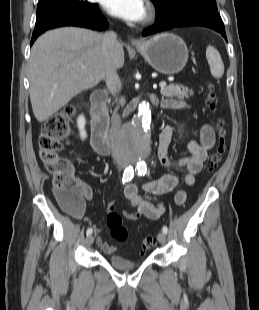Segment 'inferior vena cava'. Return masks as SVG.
I'll use <instances>...</instances> for the list:
<instances>
[{"label": "inferior vena cava", "instance_id": "602c4592", "mask_svg": "<svg viewBox=\"0 0 259 310\" xmlns=\"http://www.w3.org/2000/svg\"><path fill=\"white\" fill-rule=\"evenodd\" d=\"M118 44L119 42L117 40V35L115 32L111 31L103 35V46L105 52V67H106L105 81L110 93L114 96H116L121 91V82L119 76L117 74L116 68L112 67L111 64L112 53ZM120 126H121V119L120 115L118 114V107H116L112 118V124L110 130V136L112 139H114L117 136Z\"/></svg>", "mask_w": 259, "mask_h": 310}]
</instances>
